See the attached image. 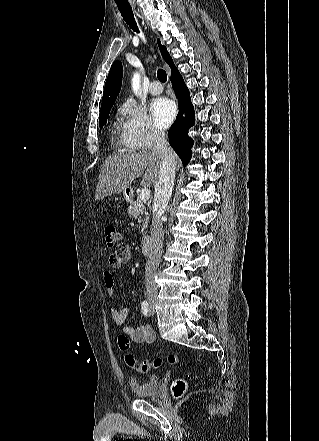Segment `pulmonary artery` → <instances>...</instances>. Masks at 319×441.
Segmentation results:
<instances>
[{"instance_id": "1", "label": "pulmonary artery", "mask_w": 319, "mask_h": 441, "mask_svg": "<svg viewBox=\"0 0 319 441\" xmlns=\"http://www.w3.org/2000/svg\"><path fill=\"white\" fill-rule=\"evenodd\" d=\"M149 92L152 95H159L160 93H162V86H161V84L158 81H153L150 84Z\"/></svg>"}]
</instances>
